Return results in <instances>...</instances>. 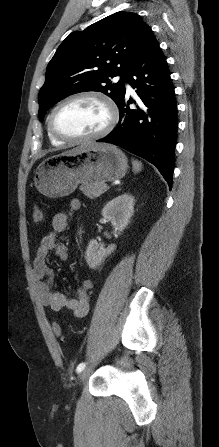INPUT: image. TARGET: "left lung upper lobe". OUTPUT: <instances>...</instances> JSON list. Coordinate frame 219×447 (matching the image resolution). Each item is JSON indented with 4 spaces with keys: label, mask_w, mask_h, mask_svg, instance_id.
Wrapping results in <instances>:
<instances>
[{
    "label": "left lung upper lobe",
    "mask_w": 219,
    "mask_h": 447,
    "mask_svg": "<svg viewBox=\"0 0 219 447\" xmlns=\"http://www.w3.org/2000/svg\"><path fill=\"white\" fill-rule=\"evenodd\" d=\"M152 34L139 15L123 11L69 34L47 66L38 97L40 121L54 104L83 91H101L118 105L126 73Z\"/></svg>",
    "instance_id": "1"
}]
</instances>
